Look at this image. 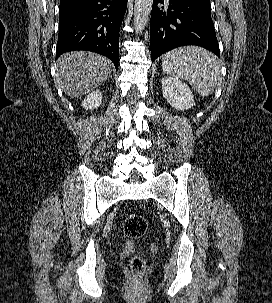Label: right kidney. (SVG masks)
<instances>
[{"mask_svg": "<svg viewBox=\"0 0 272 303\" xmlns=\"http://www.w3.org/2000/svg\"><path fill=\"white\" fill-rule=\"evenodd\" d=\"M102 103V93L99 90L90 93L82 102V107L86 110H94Z\"/></svg>", "mask_w": 272, "mask_h": 303, "instance_id": "right-kidney-1", "label": "right kidney"}]
</instances>
